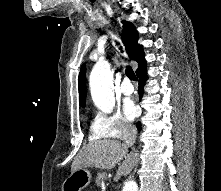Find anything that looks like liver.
<instances>
[{"mask_svg": "<svg viewBox=\"0 0 221 191\" xmlns=\"http://www.w3.org/2000/svg\"><path fill=\"white\" fill-rule=\"evenodd\" d=\"M124 159V160H123ZM123 162L120 164V161ZM137 156L128 154L126 144L117 140H98L84 146L75 157L71 165V172L87 167L112 169L119 164L115 181L121 176H127L133 169Z\"/></svg>", "mask_w": 221, "mask_h": 191, "instance_id": "liver-1", "label": "liver"}]
</instances>
